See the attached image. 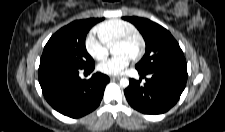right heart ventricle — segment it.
<instances>
[{
	"label": "right heart ventricle",
	"instance_id": "1",
	"mask_svg": "<svg viewBox=\"0 0 225 132\" xmlns=\"http://www.w3.org/2000/svg\"><path fill=\"white\" fill-rule=\"evenodd\" d=\"M100 40L107 46L112 47L114 43L122 36L137 32V28L132 23L121 20L112 19L99 24L95 28Z\"/></svg>",
	"mask_w": 225,
	"mask_h": 132
}]
</instances>
